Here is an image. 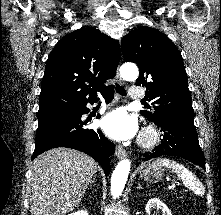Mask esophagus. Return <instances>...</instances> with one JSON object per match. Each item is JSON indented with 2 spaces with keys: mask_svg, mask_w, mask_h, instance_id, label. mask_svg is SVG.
I'll list each match as a JSON object with an SVG mask.
<instances>
[{
  "mask_svg": "<svg viewBox=\"0 0 221 215\" xmlns=\"http://www.w3.org/2000/svg\"><path fill=\"white\" fill-rule=\"evenodd\" d=\"M116 79L117 81L122 85L124 86L125 85V82L124 80L122 79V77L120 76L118 70H117V73H116ZM116 156L119 158V159H122L124 157H126V151L123 147L119 146L117 149H116V152H115Z\"/></svg>",
  "mask_w": 221,
  "mask_h": 215,
  "instance_id": "1",
  "label": "esophagus"
}]
</instances>
